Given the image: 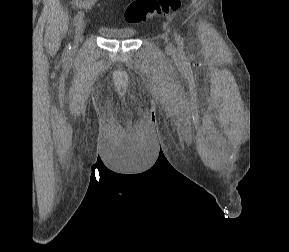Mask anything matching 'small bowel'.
I'll list each match as a JSON object with an SVG mask.
<instances>
[{"label": "small bowel", "instance_id": "1", "mask_svg": "<svg viewBox=\"0 0 289 252\" xmlns=\"http://www.w3.org/2000/svg\"><path fill=\"white\" fill-rule=\"evenodd\" d=\"M99 0H71V5L76 9H89L98 3Z\"/></svg>", "mask_w": 289, "mask_h": 252}]
</instances>
